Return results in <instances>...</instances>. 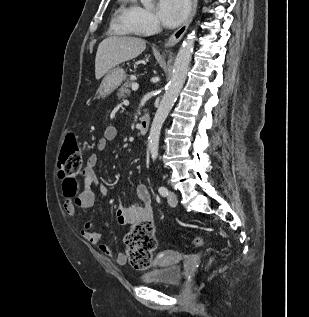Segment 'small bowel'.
I'll return each instance as SVG.
<instances>
[{"label": "small bowel", "instance_id": "c3829d8e", "mask_svg": "<svg viewBox=\"0 0 309 317\" xmlns=\"http://www.w3.org/2000/svg\"><path fill=\"white\" fill-rule=\"evenodd\" d=\"M117 128L109 125L104 131V136L96 144L98 151H104L108 142L117 137ZM98 163V155L93 153L87 158L86 165L81 172L83 178L82 188L78 187L76 181L64 184V209L66 213L80 225V234L92 245L112 257L118 264L123 265L128 258L127 252L115 251L103 242L102 234L95 230V225L91 222H84L79 214L80 209H88L94 205L95 190L103 192L104 187L97 179L95 168ZM137 199L128 204H119L115 214L120 224H132L140 221L152 223L153 210L151 205V195L145 185L136 188ZM106 225V222H104Z\"/></svg>", "mask_w": 309, "mask_h": 317}]
</instances>
